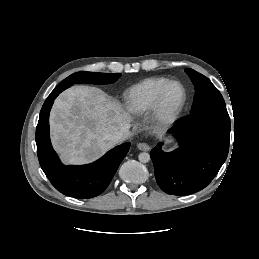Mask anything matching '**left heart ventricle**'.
Here are the masks:
<instances>
[{
  "instance_id": "b2bd125f",
  "label": "left heart ventricle",
  "mask_w": 259,
  "mask_h": 259,
  "mask_svg": "<svg viewBox=\"0 0 259 259\" xmlns=\"http://www.w3.org/2000/svg\"><path fill=\"white\" fill-rule=\"evenodd\" d=\"M181 97V89L177 85L170 86L165 94V104L168 107L175 105Z\"/></svg>"
}]
</instances>
